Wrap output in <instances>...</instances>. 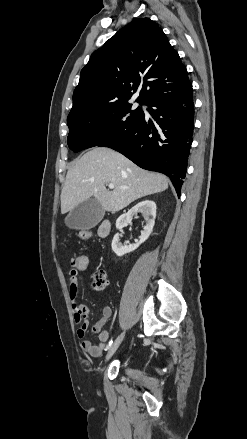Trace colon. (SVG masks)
<instances>
[{"mask_svg": "<svg viewBox=\"0 0 247 439\" xmlns=\"http://www.w3.org/2000/svg\"><path fill=\"white\" fill-rule=\"evenodd\" d=\"M80 239L86 240L91 237V233L88 231H82L79 234ZM89 264V258L86 255H79L73 258L72 267L78 271H84ZM93 287L97 290H101L106 285V275L102 270H98L93 274Z\"/></svg>", "mask_w": 247, "mask_h": 439, "instance_id": "1", "label": "colon"}]
</instances>
